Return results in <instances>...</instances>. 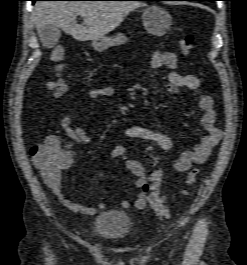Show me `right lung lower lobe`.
Wrapping results in <instances>:
<instances>
[{
	"instance_id": "obj_1",
	"label": "right lung lower lobe",
	"mask_w": 247,
	"mask_h": 265,
	"mask_svg": "<svg viewBox=\"0 0 247 265\" xmlns=\"http://www.w3.org/2000/svg\"><path fill=\"white\" fill-rule=\"evenodd\" d=\"M30 1H32L34 3L35 1H39V0H30ZM138 1H143V0H138Z\"/></svg>"
}]
</instances>
